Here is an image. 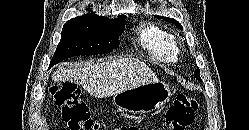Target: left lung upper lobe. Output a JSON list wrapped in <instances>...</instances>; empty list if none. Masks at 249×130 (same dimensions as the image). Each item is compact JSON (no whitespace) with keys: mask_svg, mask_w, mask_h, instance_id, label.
<instances>
[{"mask_svg":"<svg viewBox=\"0 0 249 130\" xmlns=\"http://www.w3.org/2000/svg\"><path fill=\"white\" fill-rule=\"evenodd\" d=\"M155 17L163 18L164 20H166V21H168V22L175 23L176 26H177L178 28L183 29V28H182V25H181L178 21H176L175 19L167 18V17H163V16H157V15H156ZM194 75H195V77H196L198 80L201 81V78H200V69H197V70L195 71Z\"/></svg>","mask_w":249,"mask_h":130,"instance_id":"1","label":"left lung upper lobe"}]
</instances>
